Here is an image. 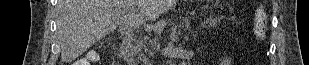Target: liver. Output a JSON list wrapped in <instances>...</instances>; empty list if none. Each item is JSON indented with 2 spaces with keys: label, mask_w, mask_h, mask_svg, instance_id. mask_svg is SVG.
I'll use <instances>...</instances> for the list:
<instances>
[{
  "label": "liver",
  "mask_w": 309,
  "mask_h": 65,
  "mask_svg": "<svg viewBox=\"0 0 309 65\" xmlns=\"http://www.w3.org/2000/svg\"><path fill=\"white\" fill-rule=\"evenodd\" d=\"M172 6V0H58L57 36L61 59L70 62L109 33L136 29L155 20Z\"/></svg>",
  "instance_id": "liver-1"
}]
</instances>
